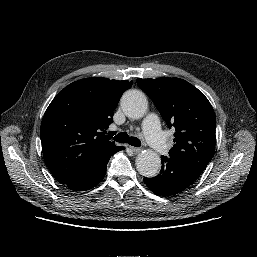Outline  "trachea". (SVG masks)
Wrapping results in <instances>:
<instances>
[{"label":"trachea","instance_id":"trachea-1","mask_svg":"<svg viewBox=\"0 0 257 257\" xmlns=\"http://www.w3.org/2000/svg\"><path fill=\"white\" fill-rule=\"evenodd\" d=\"M119 143H128L132 146L139 147L141 141L137 137L129 136L126 132H121L113 137Z\"/></svg>","mask_w":257,"mask_h":257}]
</instances>
